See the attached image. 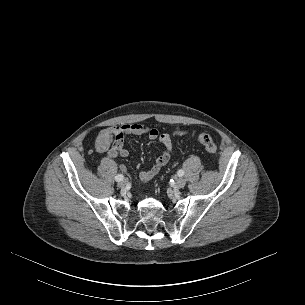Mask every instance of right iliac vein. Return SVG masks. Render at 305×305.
I'll return each instance as SVG.
<instances>
[{
	"mask_svg": "<svg viewBox=\"0 0 305 305\" xmlns=\"http://www.w3.org/2000/svg\"><path fill=\"white\" fill-rule=\"evenodd\" d=\"M127 185V181L126 180H122L121 182L118 183V187L119 188H125Z\"/></svg>",
	"mask_w": 305,
	"mask_h": 305,
	"instance_id": "1",
	"label": "right iliac vein"
}]
</instances>
